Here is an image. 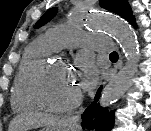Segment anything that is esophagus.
I'll return each mask as SVG.
<instances>
[{"mask_svg": "<svg viewBox=\"0 0 151 131\" xmlns=\"http://www.w3.org/2000/svg\"><path fill=\"white\" fill-rule=\"evenodd\" d=\"M72 120H73L74 122H80L81 118H80L79 115H75V116L72 117Z\"/></svg>", "mask_w": 151, "mask_h": 131, "instance_id": "obj_1", "label": "esophagus"}]
</instances>
